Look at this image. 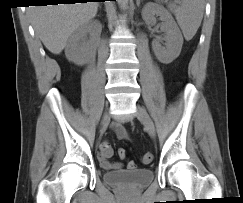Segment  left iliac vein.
<instances>
[{"mask_svg":"<svg viewBox=\"0 0 243 203\" xmlns=\"http://www.w3.org/2000/svg\"><path fill=\"white\" fill-rule=\"evenodd\" d=\"M136 117L144 124V126L147 128L148 133L151 137L156 136V129L155 125L149 116L148 112L141 106L137 105L136 107Z\"/></svg>","mask_w":243,"mask_h":203,"instance_id":"4c4485c4","label":"left iliac vein"}]
</instances>
